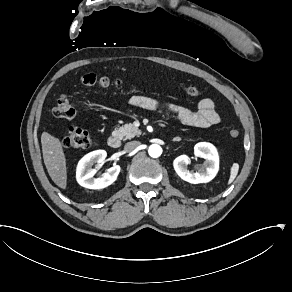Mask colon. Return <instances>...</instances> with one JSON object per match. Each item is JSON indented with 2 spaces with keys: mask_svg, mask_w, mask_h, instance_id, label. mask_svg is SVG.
<instances>
[{
  "mask_svg": "<svg viewBox=\"0 0 292 292\" xmlns=\"http://www.w3.org/2000/svg\"><path fill=\"white\" fill-rule=\"evenodd\" d=\"M82 84L84 86H99L102 88H121L124 84V81L122 78L111 79L105 76L97 77L94 74H86L82 78ZM183 88L184 91L191 96L199 97L203 94L201 87L191 82L183 83ZM53 115L57 119L70 120L74 118L75 109L67 96H59L53 109ZM229 134L230 137L237 138L239 136V130L233 128L229 131ZM95 138V135L86 130L77 127H71L65 131L62 144L67 149L88 148L94 144Z\"/></svg>",
  "mask_w": 292,
  "mask_h": 292,
  "instance_id": "5ec220e1",
  "label": "colon"
}]
</instances>
